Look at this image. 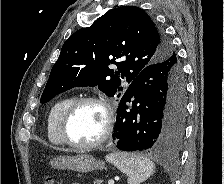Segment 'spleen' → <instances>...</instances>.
Masks as SVG:
<instances>
[{"mask_svg":"<svg viewBox=\"0 0 224 184\" xmlns=\"http://www.w3.org/2000/svg\"><path fill=\"white\" fill-rule=\"evenodd\" d=\"M105 159L128 176V184H140L155 171L150 159L137 154L117 152L106 155Z\"/></svg>","mask_w":224,"mask_h":184,"instance_id":"obj_1","label":"spleen"}]
</instances>
